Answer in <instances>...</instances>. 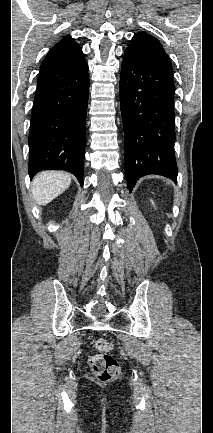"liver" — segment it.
<instances>
[{
	"label": "liver",
	"mask_w": 213,
	"mask_h": 433,
	"mask_svg": "<svg viewBox=\"0 0 213 433\" xmlns=\"http://www.w3.org/2000/svg\"><path fill=\"white\" fill-rule=\"evenodd\" d=\"M71 184L70 174L47 170L38 173L32 181V196L38 205H46L62 194Z\"/></svg>",
	"instance_id": "obj_1"
}]
</instances>
